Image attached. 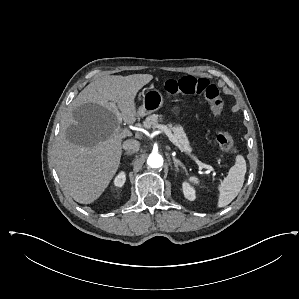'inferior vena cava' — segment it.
I'll use <instances>...</instances> for the list:
<instances>
[{
    "instance_id": "inferior-vena-cava-1",
    "label": "inferior vena cava",
    "mask_w": 299,
    "mask_h": 299,
    "mask_svg": "<svg viewBox=\"0 0 299 299\" xmlns=\"http://www.w3.org/2000/svg\"><path fill=\"white\" fill-rule=\"evenodd\" d=\"M122 147L124 150H127V152L135 153L139 151L140 143L135 139H128L123 142Z\"/></svg>"
}]
</instances>
